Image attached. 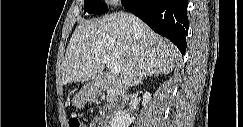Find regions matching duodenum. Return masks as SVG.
<instances>
[{
  "instance_id": "1",
  "label": "duodenum",
  "mask_w": 243,
  "mask_h": 127,
  "mask_svg": "<svg viewBox=\"0 0 243 127\" xmlns=\"http://www.w3.org/2000/svg\"><path fill=\"white\" fill-rule=\"evenodd\" d=\"M95 88L100 90L109 89L111 91V96H110L111 108L109 110L108 118L112 119L113 116H115L121 110V107L127 101V96L122 86L117 80L112 78L110 75L101 74L96 79ZM100 121L102 124H104L103 120Z\"/></svg>"
}]
</instances>
